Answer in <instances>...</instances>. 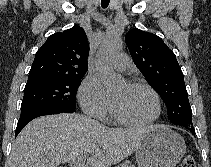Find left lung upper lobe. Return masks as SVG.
<instances>
[{
  "label": "left lung upper lobe",
  "mask_w": 211,
  "mask_h": 167,
  "mask_svg": "<svg viewBox=\"0 0 211 167\" xmlns=\"http://www.w3.org/2000/svg\"><path fill=\"white\" fill-rule=\"evenodd\" d=\"M125 40L135 65L164 100L169 120L193 126L183 73L173 51L159 36L137 28L131 29Z\"/></svg>",
  "instance_id": "left-lung-upper-lobe-1"
}]
</instances>
